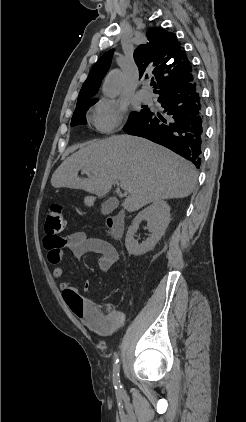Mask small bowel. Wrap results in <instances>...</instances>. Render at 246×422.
I'll use <instances>...</instances> for the list:
<instances>
[{
    "instance_id": "c3829d8e",
    "label": "small bowel",
    "mask_w": 246,
    "mask_h": 422,
    "mask_svg": "<svg viewBox=\"0 0 246 422\" xmlns=\"http://www.w3.org/2000/svg\"><path fill=\"white\" fill-rule=\"evenodd\" d=\"M47 250V259L50 264L56 265L52 275L61 279L65 270L58 264L61 262L64 250H69L74 256L80 257L93 252L99 255L97 264L102 271H108L119 259L115 247L106 240L89 237L85 232H74L65 237L49 234L44 239ZM83 291H88L89 282L85 281ZM62 297L72 312L92 331L107 335L123 325L125 317L114 309L111 304L98 305L90 299L80 296L77 287L72 282L60 284Z\"/></svg>"
}]
</instances>
